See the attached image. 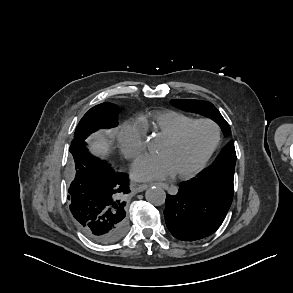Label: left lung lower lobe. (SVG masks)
<instances>
[{"mask_svg": "<svg viewBox=\"0 0 293 293\" xmlns=\"http://www.w3.org/2000/svg\"><path fill=\"white\" fill-rule=\"evenodd\" d=\"M233 179L228 174L202 173L182 183L176 195H167L164 216L171 234L195 241L215 232L231 206Z\"/></svg>", "mask_w": 293, "mask_h": 293, "instance_id": "1", "label": "left lung lower lobe"}]
</instances>
